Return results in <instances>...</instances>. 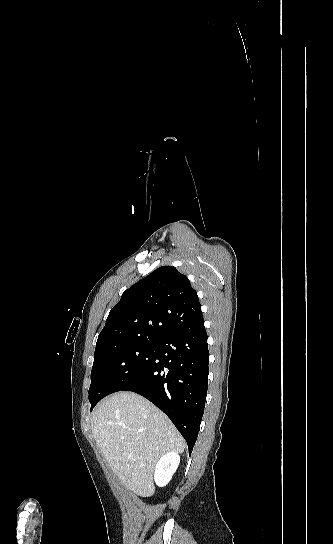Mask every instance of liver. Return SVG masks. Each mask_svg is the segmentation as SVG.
<instances>
[{
  "label": "liver",
  "mask_w": 333,
  "mask_h": 544,
  "mask_svg": "<svg viewBox=\"0 0 333 544\" xmlns=\"http://www.w3.org/2000/svg\"><path fill=\"white\" fill-rule=\"evenodd\" d=\"M92 433L112 471L137 495L151 496L153 472L169 452L182 453L184 440L167 416L145 398L118 392L95 410Z\"/></svg>",
  "instance_id": "1"
}]
</instances>
